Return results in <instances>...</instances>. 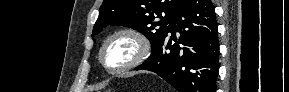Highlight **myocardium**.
Listing matches in <instances>:
<instances>
[{"label": "myocardium", "instance_id": "obj_1", "mask_svg": "<svg viewBox=\"0 0 289 92\" xmlns=\"http://www.w3.org/2000/svg\"><path fill=\"white\" fill-rule=\"evenodd\" d=\"M118 37H128L135 44V54L130 61L122 66L112 68L105 61V51L112 40ZM151 54V43L148 37L140 30L133 27H123L109 34L99 49L98 59L101 66L111 74H119L134 69L145 62Z\"/></svg>", "mask_w": 289, "mask_h": 92}]
</instances>
